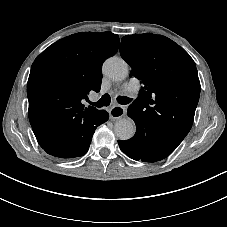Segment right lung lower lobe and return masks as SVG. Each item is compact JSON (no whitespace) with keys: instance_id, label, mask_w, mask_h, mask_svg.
<instances>
[{"instance_id":"obj_1","label":"right lung lower lobe","mask_w":227,"mask_h":227,"mask_svg":"<svg viewBox=\"0 0 227 227\" xmlns=\"http://www.w3.org/2000/svg\"><path fill=\"white\" fill-rule=\"evenodd\" d=\"M102 124V123H101ZM87 120L77 121L61 135L60 140H48L39 130H33L40 146L50 155L59 158L80 157L87 153L96 126Z\"/></svg>"}]
</instances>
